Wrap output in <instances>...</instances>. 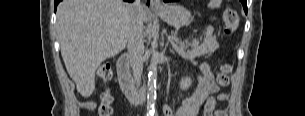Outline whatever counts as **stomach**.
<instances>
[{
	"label": "stomach",
	"mask_w": 305,
	"mask_h": 116,
	"mask_svg": "<svg viewBox=\"0 0 305 116\" xmlns=\"http://www.w3.org/2000/svg\"><path fill=\"white\" fill-rule=\"evenodd\" d=\"M155 13L175 28L189 25L191 19V13L183 6L175 3L164 5L161 9L155 10Z\"/></svg>",
	"instance_id": "1"
}]
</instances>
